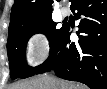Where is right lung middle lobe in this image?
Returning <instances> with one entry per match:
<instances>
[{
  "instance_id": "right-lung-middle-lobe-1",
  "label": "right lung middle lobe",
  "mask_w": 107,
  "mask_h": 89,
  "mask_svg": "<svg viewBox=\"0 0 107 89\" xmlns=\"http://www.w3.org/2000/svg\"><path fill=\"white\" fill-rule=\"evenodd\" d=\"M57 23L51 17L30 21L10 27L8 30L7 53L10 65V77L27 78L35 75L37 67H29L25 59V50L28 39L36 34L43 33L47 36L50 43V53L56 47L62 32L66 25L62 28H56Z\"/></svg>"
}]
</instances>
